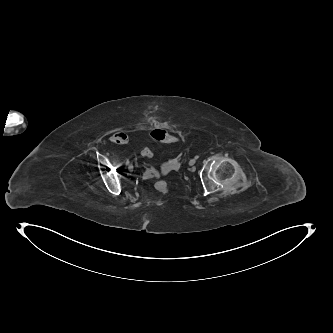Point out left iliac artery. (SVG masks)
I'll list each match as a JSON object with an SVG mask.
<instances>
[{
	"mask_svg": "<svg viewBox=\"0 0 333 333\" xmlns=\"http://www.w3.org/2000/svg\"><path fill=\"white\" fill-rule=\"evenodd\" d=\"M195 158H196V159H198V158H199V156H195Z\"/></svg>",
	"mask_w": 333,
	"mask_h": 333,
	"instance_id": "1",
	"label": "left iliac artery"
}]
</instances>
